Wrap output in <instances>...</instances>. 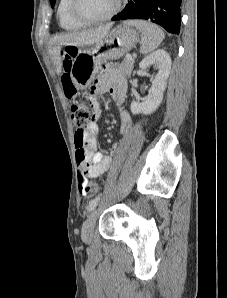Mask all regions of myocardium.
<instances>
[{
	"mask_svg": "<svg viewBox=\"0 0 227 298\" xmlns=\"http://www.w3.org/2000/svg\"><path fill=\"white\" fill-rule=\"evenodd\" d=\"M123 0H116L113 9L106 15L100 18H86L83 17L78 11V2L79 0H71L70 2V14L77 22L82 23L83 25H93L106 22L113 18L121 9Z\"/></svg>",
	"mask_w": 227,
	"mask_h": 298,
	"instance_id": "f54148a6",
	"label": "myocardium"
}]
</instances>
